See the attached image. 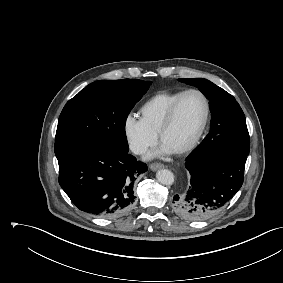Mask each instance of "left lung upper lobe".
I'll list each match as a JSON object with an SVG mask.
<instances>
[{"label":"left lung upper lobe","instance_id":"left-lung-upper-lobe-1","mask_svg":"<svg viewBox=\"0 0 283 283\" xmlns=\"http://www.w3.org/2000/svg\"><path fill=\"white\" fill-rule=\"evenodd\" d=\"M197 87L210 100L212 119L210 132L188 157L212 152L249 154L250 139L245 115L235 98L214 83L203 78L179 79Z\"/></svg>","mask_w":283,"mask_h":283}]
</instances>
